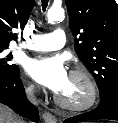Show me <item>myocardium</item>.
Segmentation results:
<instances>
[{"mask_svg":"<svg viewBox=\"0 0 118 123\" xmlns=\"http://www.w3.org/2000/svg\"><path fill=\"white\" fill-rule=\"evenodd\" d=\"M70 76L84 81L87 87L86 98L81 102L71 103L64 100L60 95L56 94L54 96L55 102L61 108L72 112H81L92 108L98 100L99 92L97 84L91 74L83 69H75L70 72Z\"/></svg>","mask_w":118,"mask_h":123,"instance_id":"f54148a6","label":"myocardium"}]
</instances>
